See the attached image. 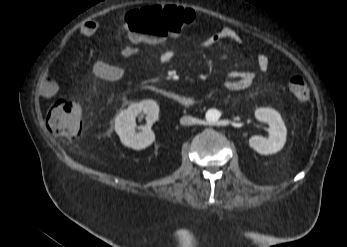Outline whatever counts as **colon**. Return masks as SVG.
<instances>
[{"label": "colon", "instance_id": "5ec220e1", "mask_svg": "<svg viewBox=\"0 0 347 247\" xmlns=\"http://www.w3.org/2000/svg\"><path fill=\"white\" fill-rule=\"evenodd\" d=\"M197 21L190 10L175 5L151 6L128 12L122 18L123 29L134 40L160 43L170 35L180 34ZM289 90L298 103L310 99V87L300 76L289 82ZM49 129L64 138L78 137L83 131L81 108L75 99L56 97L46 115Z\"/></svg>", "mask_w": 347, "mask_h": 247}]
</instances>
